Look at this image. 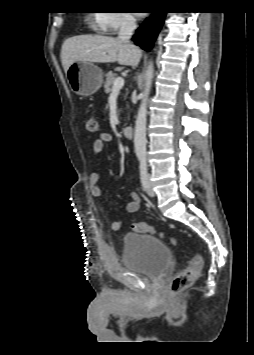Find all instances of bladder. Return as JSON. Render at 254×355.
Returning a JSON list of instances; mask_svg holds the SVG:
<instances>
[{
	"instance_id": "obj_1",
	"label": "bladder",
	"mask_w": 254,
	"mask_h": 355,
	"mask_svg": "<svg viewBox=\"0 0 254 355\" xmlns=\"http://www.w3.org/2000/svg\"><path fill=\"white\" fill-rule=\"evenodd\" d=\"M169 262L170 251L160 239L144 234L124 235L122 263L126 270L153 280L168 269Z\"/></svg>"
}]
</instances>
